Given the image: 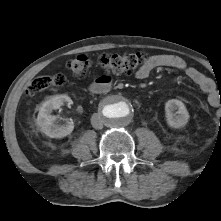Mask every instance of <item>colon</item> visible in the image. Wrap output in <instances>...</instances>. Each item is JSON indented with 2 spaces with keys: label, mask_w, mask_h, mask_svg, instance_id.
<instances>
[{
  "label": "colon",
  "mask_w": 221,
  "mask_h": 221,
  "mask_svg": "<svg viewBox=\"0 0 221 221\" xmlns=\"http://www.w3.org/2000/svg\"><path fill=\"white\" fill-rule=\"evenodd\" d=\"M147 59V54L143 52L102 53L97 58V64L108 74H130L143 65ZM91 65V59L85 54L77 55L67 63L68 69L78 78H85L89 74ZM65 82L66 77L61 73L38 76L29 84L26 93L35 95L50 88L61 87ZM217 119L221 124V113L217 115Z\"/></svg>",
  "instance_id": "1"
}]
</instances>
